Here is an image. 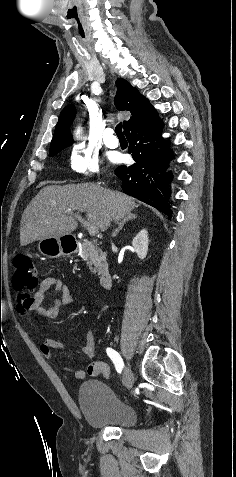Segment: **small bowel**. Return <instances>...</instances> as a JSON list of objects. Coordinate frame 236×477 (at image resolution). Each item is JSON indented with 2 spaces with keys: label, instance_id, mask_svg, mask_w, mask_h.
<instances>
[{
  "label": "small bowel",
  "instance_id": "small-bowel-1",
  "mask_svg": "<svg viewBox=\"0 0 236 477\" xmlns=\"http://www.w3.org/2000/svg\"><path fill=\"white\" fill-rule=\"evenodd\" d=\"M53 289V302L49 307H43L46 292ZM31 302L26 305H18V311L23 315H29L31 312L39 314L45 319H54L58 316L61 306H68L73 303L71 289L61 280L54 277H46L41 280L38 290L31 295ZM53 349L65 350V347L51 338L43 336L40 343V351L44 357L53 362L55 356ZM84 355L93 358L96 355V344L93 329L88 327L84 331V344L81 347ZM65 371L74 379H83L86 376L109 378L110 368L103 362L94 361L90 363L86 370L65 368Z\"/></svg>",
  "mask_w": 236,
  "mask_h": 477
}]
</instances>
